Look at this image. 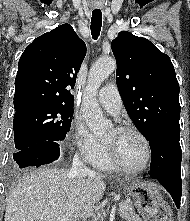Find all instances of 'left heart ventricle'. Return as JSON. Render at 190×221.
I'll return each mask as SVG.
<instances>
[{"label": "left heart ventricle", "mask_w": 190, "mask_h": 221, "mask_svg": "<svg viewBox=\"0 0 190 221\" xmlns=\"http://www.w3.org/2000/svg\"><path fill=\"white\" fill-rule=\"evenodd\" d=\"M116 148L122 163L131 169L142 167L146 160V148L141 138L133 132L118 133L113 128L105 137Z\"/></svg>", "instance_id": "obj_1"}]
</instances>
